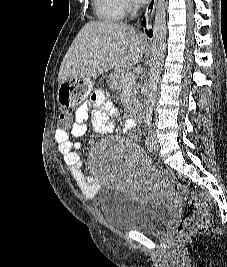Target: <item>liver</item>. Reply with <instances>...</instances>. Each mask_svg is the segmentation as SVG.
I'll return each mask as SVG.
<instances>
[{"mask_svg":"<svg viewBox=\"0 0 227 267\" xmlns=\"http://www.w3.org/2000/svg\"><path fill=\"white\" fill-rule=\"evenodd\" d=\"M144 52V40L134 27L113 21H90L69 47L58 74L65 77H97L116 68L128 70Z\"/></svg>","mask_w":227,"mask_h":267,"instance_id":"6515ba94","label":"liver"}]
</instances>
